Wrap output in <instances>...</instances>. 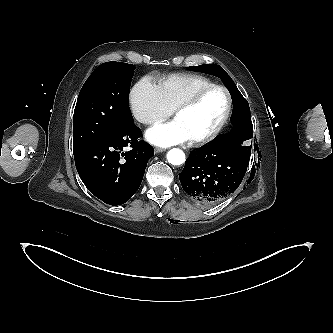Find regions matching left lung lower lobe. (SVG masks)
Returning <instances> with one entry per match:
<instances>
[{
	"mask_svg": "<svg viewBox=\"0 0 333 333\" xmlns=\"http://www.w3.org/2000/svg\"><path fill=\"white\" fill-rule=\"evenodd\" d=\"M240 141L241 137L213 141L190 153L179 178L193 200L214 206L239 187L250 159L239 150ZM253 173L252 168L251 177Z\"/></svg>",
	"mask_w": 333,
	"mask_h": 333,
	"instance_id": "1",
	"label": "left lung lower lobe"
}]
</instances>
